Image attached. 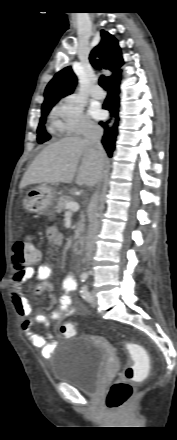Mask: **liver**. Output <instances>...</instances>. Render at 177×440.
<instances>
[{"label":"liver","instance_id":"1","mask_svg":"<svg viewBox=\"0 0 177 440\" xmlns=\"http://www.w3.org/2000/svg\"><path fill=\"white\" fill-rule=\"evenodd\" d=\"M105 160V152L99 153L85 139L64 138L40 152L24 174L20 188L41 183H71L76 173L78 185L93 187L103 176Z\"/></svg>","mask_w":177,"mask_h":440}]
</instances>
